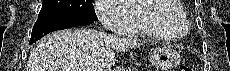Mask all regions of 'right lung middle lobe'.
Masks as SVG:
<instances>
[{
    "instance_id": "dd1d6c3e",
    "label": "right lung middle lobe",
    "mask_w": 230,
    "mask_h": 71,
    "mask_svg": "<svg viewBox=\"0 0 230 71\" xmlns=\"http://www.w3.org/2000/svg\"><path fill=\"white\" fill-rule=\"evenodd\" d=\"M94 0H43L38 19L61 16H87L97 18Z\"/></svg>"
}]
</instances>
